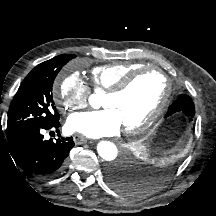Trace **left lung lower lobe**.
<instances>
[{
	"label": "left lung lower lobe",
	"mask_w": 216,
	"mask_h": 216,
	"mask_svg": "<svg viewBox=\"0 0 216 216\" xmlns=\"http://www.w3.org/2000/svg\"><path fill=\"white\" fill-rule=\"evenodd\" d=\"M183 95L187 96L185 94ZM174 104L175 105L172 106L170 112L178 109L177 108L179 106L178 103L175 102ZM107 175L110 183L119 191L128 194L133 189V185H134L133 176L129 174L128 171L122 170L118 166H113L110 169H108Z\"/></svg>",
	"instance_id": "1"
}]
</instances>
